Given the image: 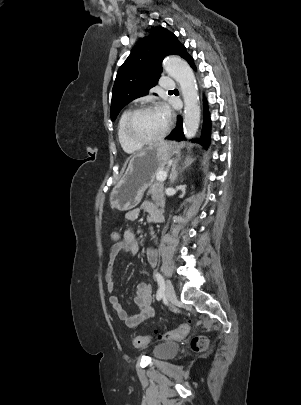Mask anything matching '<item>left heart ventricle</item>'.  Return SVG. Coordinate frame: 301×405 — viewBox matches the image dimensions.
Wrapping results in <instances>:
<instances>
[{"mask_svg":"<svg viewBox=\"0 0 301 405\" xmlns=\"http://www.w3.org/2000/svg\"><path fill=\"white\" fill-rule=\"evenodd\" d=\"M167 119L156 109L148 110L138 114L132 123V132L142 139H149L157 136L166 126Z\"/></svg>","mask_w":301,"mask_h":405,"instance_id":"obj_1","label":"left heart ventricle"}]
</instances>
